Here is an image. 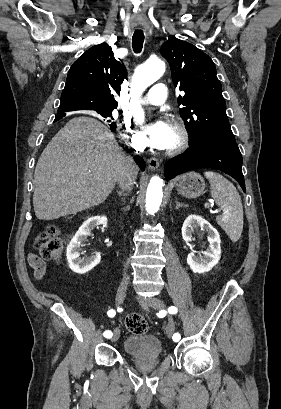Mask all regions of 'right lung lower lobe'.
Returning a JSON list of instances; mask_svg holds the SVG:
<instances>
[{
  "mask_svg": "<svg viewBox=\"0 0 281 409\" xmlns=\"http://www.w3.org/2000/svg\"><path fill=\"white\" fill-rule=\"evenodd\" d=\"M64 116H65V113H63V114H57L54 121H57V120L61 119V118L64 117ZM135 159H136V161L138 162V165L140 166V168H141L142 170H144V169H145V163H144L143 159L140 158V157H138V156H136Z\"/></svg>",
  "mask_w": 281,
  "mask_h": 409,
  "instance_id": "right-lung-lower-lobe-1",
  "label": "right lung lower lobe"
}]
</instances>
